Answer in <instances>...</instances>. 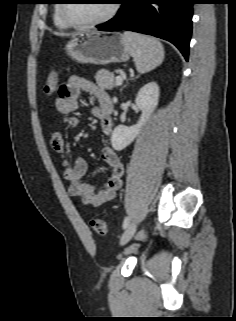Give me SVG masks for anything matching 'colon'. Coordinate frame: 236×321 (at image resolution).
I'll return each instance as SVG.
<instances>
[{
    "instance_id": "1",
    "label": "colon",
    "mask_w": 236,
    "mask_h": 321,
    "mask_svg": "<svg viewBox=\"0 0 236 321\" xmlns=\"http://www.w3.org/2000/svg\"><path fill=\"white\" fill-rule=\"evenodd\" d=\"M58 85V74L56 72H51L45 81L44 84V93L46 95H52ZM90 226L95 233L101 236H105L108 234V227L106 223L101 219H92L90 221Z\"/></svg>"
}]
</instances>
